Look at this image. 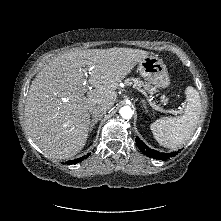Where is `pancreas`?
<instances>
[{
	"mask_svg": "<svg viewBox=\"0 0 221 221\" xmlns=\"http://www.w3.org/2000/svg\"><path fill=\"white\" fill-rule=\"evenodd\" d=\"M125 83L128 84V85H132L134 88H142V87H144L145 90L155 91V89L152 88L150 84L144 83L143 81H140V80H138L136 78H128V79L125 80Z\"/></svg>",
	"mask_w": 221,
	"mask_h": 221,
	"instance_id": "pancreas-1",
	"label": "pancreas"
}]
</instances>
